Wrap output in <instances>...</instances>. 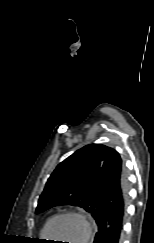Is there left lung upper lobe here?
Here are the masks:
<instances>
[{
	"label": "left lung upper lobe",
	"instance_id": "obj_1",
	"mask_svg": "<svg viewBox=\"0 0 154 243\" xmlns=\"http://www.w3.org/2000/svg\"><path fill=\"white\" fill-rule=\"evenodd\" d=\"M111 150L104 145L90 144L61 162L46 183L36 213L53 206L74 205L91 213L96 220L100 212L90 190Z\"/></svg>",
	"mask_w": 154,
	"mask_h": 243
}]
</instances>
